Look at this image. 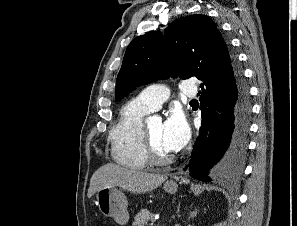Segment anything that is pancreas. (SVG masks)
Segmentation results:
<instances>
[{"label": "pancreas", "mask_w": 297, "mask_h": 226, "mask_svg": "<svg viewBox=\"0 0 297 226\" xmlns=\"http://www.w3.org/2000/svg\"><path fill=\"white\" fill-rule=\"evenodd\" d=\"M153 220V214L147 209H142L135 217L133 226H147Z\"/></svg>", "instance_id": "cf45deb5"}]
</instances>
